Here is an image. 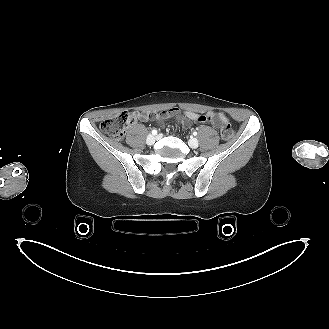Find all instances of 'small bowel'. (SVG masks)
I'll use <instances>...</instances> for the list:
<instances>
[{
  "mask_svg": "<svg viewBox=\"0 0 329 329\" xmlns=\"http://www.w3.org/2000/svg\"><path fill=\"white\" fill-rule=\"evenodd\" d=\"M134 114L137 119H141L143 121L148 119V116L146 114H142L139 112H136ZM154 116L162 119L175 118L184 128L191 127L192 124L197 121L201 123H211L213 126L216 127H218L221 123H228V118L223 113L213 111L199 115L192 111H184L180 110L179 108H169L154 113Z\"/></svg>",
  "mask_w": 329,
  "mask_h": 329,
  "instance_id": "c3829d8e",
  "label": "small bowel"
}]
</instances>
